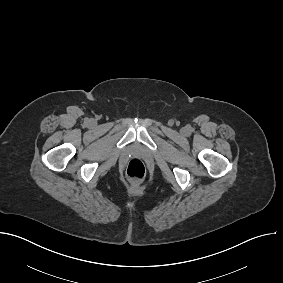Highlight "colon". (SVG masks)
<instances>
[{
    "instance_id": "1",
    "label": "colon",
    "mask_w": 283,
    "mask_h": 283,
    "mask_svg": "<svg viewBox=\"0 0 283 283\" xmlns=\"http://www.w3.org/2000/svg\"><path fill=\"white\" fill-rule=\"evenodd\" d=\"M126 175L132 180H141L145 176V166L139 159H132L126 168Z\"/></svg>"
}]
</instances>
